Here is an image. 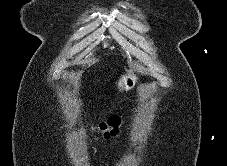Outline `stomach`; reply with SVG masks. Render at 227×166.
Instances as JSON below:
<instances>
[{
  "mask_svg": "<svg viewBox=\"0 0 227 166\" xmlns=\"http://www.w3.org/2000/svg\"><path fill=\"white\" fill-rule=\"evenodd\" d=\"M138 77L132 72L122 74L116 81L115 85L120 92L129 91L135 87Z\"/></svg>",
  "mask_w": 227,
  "mask_h": 166,
  "instance_id": "1",
  "label": "stomach"
}]
</instances>
